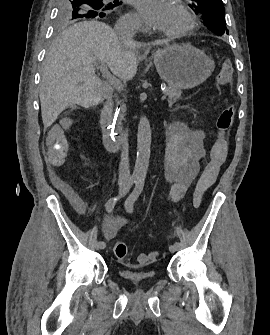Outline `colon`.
Wrapping results in <instances>:
<instances>
[{"label":"colon","mask_w":270,"mask_h":335,"mask_svg":"<svg viewBox=\"0 0 270 335\" xmlns=\"http://www.w3.org/2000/svg\"><path fill=\"white\" fill-rule=\"evenodd\" d=\"M232 61L231 58H225L223 68L220 70L217 82L220 85L228 86L232 81ZM235 109L231 106L224 107L218 115L215 127L219 132V140L213 142V149L209 162L204 167L199 179L197 181L196 190L193 196V206L198 208L201 206L203 197L207 190L214 184L219 169L225 161L227 153V142L225 141L226 132L230 129ZM114 254L117 258L126 260L128 255V246L123 241H117L114 245ZM155 259V253H141L137 257L141 265L151 263Z\"/></svg>","instance_id":"5ec220e1"}]
</instances>
